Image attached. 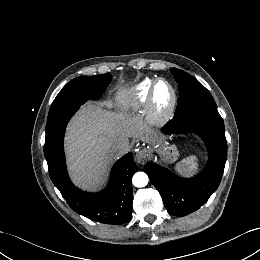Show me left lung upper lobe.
I'll list each match as a JSON object with an SVG mask.
<instances>
[{
	"label": "left lung upper lobe",
	"mask_w": 260,
	"mask_h": 260,
	"mask_svg": "<svg viewBox=\"0 0 260 260\" xmlns=\"http://www.w3.org/2000/svg\"><path fill=\"white\" fill-rule=\"evenodd\" d=\"M172 74L179 83V99L174 117H179L197 108H217L209 91L188 73L172 68Z\"/></svg>",
	"instance_id": "5c2ea615"
}]
</instances>
